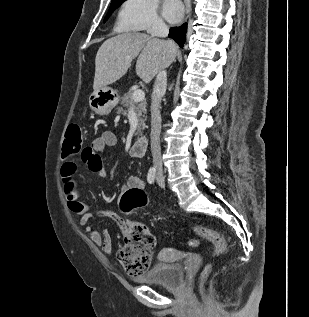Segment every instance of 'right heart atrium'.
I'll return each instance as SVG.
<instances>
[{
	"label": "right heart atrium",
	"instance_id": "obj_1",
	"mask_svg": "<svg viewBox=\"0 0 309 317\" xmlns=\"http://www.w3.org/2000/svg\"><path fill=\"white\" fill-rule=\"evenodd\" d=\"M118 23L128 31H155L165 25L158 13L157 0H125Z\"/></svg>",
	"mask_w": 309,
	"mask_h": 317
}]
</instances>
